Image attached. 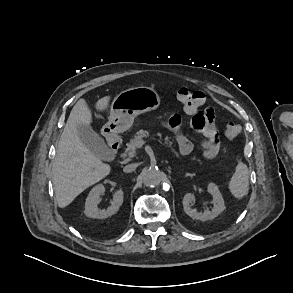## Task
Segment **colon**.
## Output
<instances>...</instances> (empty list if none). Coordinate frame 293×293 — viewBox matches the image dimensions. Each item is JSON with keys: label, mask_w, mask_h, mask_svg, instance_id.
Segmentation results:
<instances>
[{"label": "colon", "mask_w": 293, "mask_h": 293, "mask_svg": "<svg viewBox=\"0 0 293 293\" xmlns=\"http://www.w3.org/2000/svg\"><path fill=\"white\" fill-rule=\"evenodd\" d=\"M176 97L186 112L198 115L199 109L204 103V95L199 91L188 88H179L176 90ZM241 128L236 123H229L225 129L224 135L228 140H234L240 134Z\"/></svg>", "instance_id": "5ec220e1"}]
</instances>
